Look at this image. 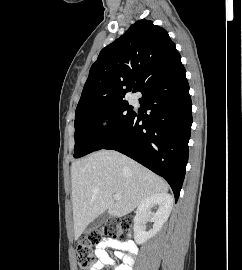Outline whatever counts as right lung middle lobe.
I'll return each instance as SVG.
<instances>
[{
    "instance_id": "dd1d6c3e",
    "label": "right lung middle lobe",
    "mask_w": 242,
    "mask_h": 270,
    "mask_svg": "<svg viewBox=\"0 0 242 270\" xmlns=\"http://www.w3.org/2000/svg\"><path fill=\"white\" fill-rule=\"evenodd\" d=\"M133 113L125 100L107 102L76 112L73 156L79 158L100 150L121 131ZM106 118L109 119V125L104 130L101 123Z\"/></svg>"
}]
</instances>
